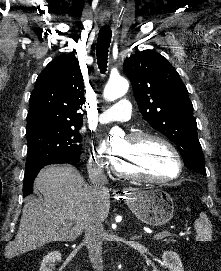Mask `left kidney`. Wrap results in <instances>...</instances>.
Listing matches in <instances>:
<instances>
[{
  "label": "left kidney",
  "instance_id": "obj_1",
  "mask_svg": "<svg viewBox=\"0 0 221 271\" xmlns=\"http://www.w3.org/2000/svg\"><path fill=\"white\" fill-rule=\"evenodd\" d=\"M160 263L163 267H168L169 271H184L180 255L176 251H163ZM154 271H158V269H154Z\"/></svg>",
  "mask_w": 221,
  "mask_h": 271
}]
</instances>
